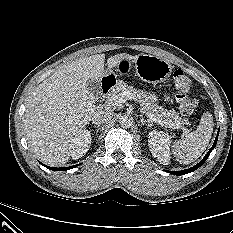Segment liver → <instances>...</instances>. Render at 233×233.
<instances>
[{
    "label": "liver",
    "instance_id": "liver-1",
    "mask_svg": "<svg viewBox=\"0 0 233 233\" xmlns=\"http://www.w3.org/2000/svg\"><path fill=\"white\" fill-rule=\"evenodd\" d=\"M137 56L121 53L107 59L109 69ZM105 54H95L62 65L30 95L24 114V130L31 151L49 166H61L70 158L69 143L96 111L87 81L106 75Z\"/></svg>",
    "mask_w": 233,
    "mask_h": 233
}]
</instances>
